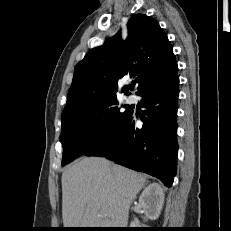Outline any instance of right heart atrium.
Wrapping results in <instances>:
<instances>
[{"instance_id":"obj_1","label":"right heart atrium","mask_w":231,"mask_h":231,"mask_svg":"<svg viewBox=\"0 0 231 231\" xmlns=\"http://www.w3.org/2000/svg\"><path fill=\"white\" fill-rule=\"evenodd\" d=\"M102 129H103V127L102 126H99L98 128H97V132H101L102 131Z\"/></svg>"}]
</instances>
